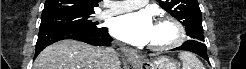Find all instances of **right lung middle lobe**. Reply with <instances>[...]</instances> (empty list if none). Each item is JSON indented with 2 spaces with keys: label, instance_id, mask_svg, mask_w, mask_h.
Listing matches in <instances>:
<instances>
[{
  "label": "right lung middle lobe",
  "instance_id": "dd1d6c3e",
  "mask_svg": "<svg viewBox=\"0 0 246 69\" xmlns=\"http://www.w3.org/2000/svg\"><path fill=\"white\" fill-rule=\"evenodd\" d=\"M92 14H59L41 18L40 28L49 26L77 27L83 29H97Z\"/></svg>",
  "mask_w": 246,
  "mask_h": 69
}]
</instances>
